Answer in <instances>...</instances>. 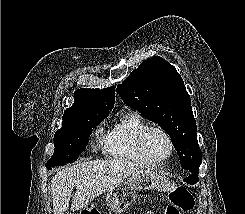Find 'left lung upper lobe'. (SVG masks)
Segmentation results:
<instances>
[{"label":"left lung upper lobe","mask_w":245,"mask_h":214,"mask_svg":"<svg viewBox=\"0 0 245 214\" xmlns=\"http://www.w3.org/2000/svg\"><path fill=\"white\" fill-rule=\"evenodd\" d=\"M117 92L125 104L157 123L172 138L182 168L199 171L202 153L191 99L174 66L153 56L133 70L117 86Z\"/></svg>","instance_id":"obj_1"}]
</instances>
